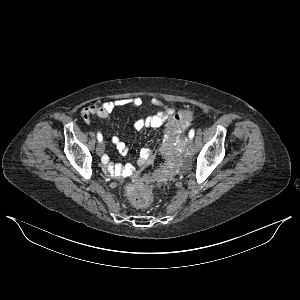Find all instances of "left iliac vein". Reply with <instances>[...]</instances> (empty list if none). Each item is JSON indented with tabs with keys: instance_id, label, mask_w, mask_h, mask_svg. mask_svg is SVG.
<instances>
[{
	"instance_id": "4c4485c4",
	"label": "left iliac vein",
	"mask_w": 300,
	"mask_h": 300,
	"mask_svg": "<svg viewBox=\"0 0 300 300\" xmlns=\"http://www.w3.org/2000/svg\"><path fill=\"white\" fill-rule=\"evenodd\" d=\"M185 144H186V147H187L188 151L190 153H192L193 152V142H192V139H190V138L185 139Z\"/></svg>"
}]
</instances>
